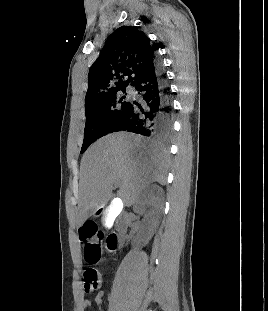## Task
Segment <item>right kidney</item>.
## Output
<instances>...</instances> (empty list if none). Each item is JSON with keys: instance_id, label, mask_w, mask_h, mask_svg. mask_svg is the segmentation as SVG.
<instances>
[{"instance_id": "1", "label": "right kidney", "mask_w": 268, "mask_h": 311, "mask_svg": "<svg viewBox=\"0 0 268 311\" xmlns=\"http://www.w3.org/2000/svg\"><path fill=\"white\" fill-rule=\"evenodd\" d=\"M163 211V189L156 184L146 187L141 192L134 205V212L139 215H144L143 223L139 227L136 236L137 242L143 245L148 244L159 226Z\"/></svg>"}]
</instances>
